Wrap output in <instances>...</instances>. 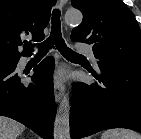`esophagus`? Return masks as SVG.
<instances>
[{
    "label": "esophagus",
    "mask_w": 141,
    "mask_h": 139,
    "mask_svg": "<svg viewBox=\"0 0 141 139\" xmlns=\"http://www.w3.org/2000/svg\"><path fill=\"white\" fill-rule=\"evenodd\" d=\"M67 1L68 0H60V5L62 7L65 6ZM64 91H65V87L63 83H61L60 81H56L54 84V96H55L56 102H59L62 99L64 95Z\"/></svg>",
    "instance_id": "obj_1"
}]
</instances>
